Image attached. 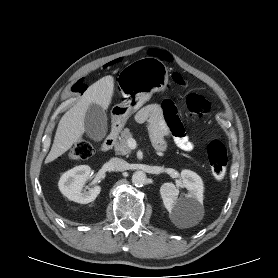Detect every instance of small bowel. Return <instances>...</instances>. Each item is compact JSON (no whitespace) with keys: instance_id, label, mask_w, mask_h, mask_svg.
<instances>
[{"instance_id":"c3829d8e","label":"small bowel","mask_w":278,"mask_h":278,"mask_svg":"<svg viewBox=\"0 0 278 278\" xmlns=\"http://www.w3.org/2000/svg\"><path fill=\"white\" fill-rule=\"evenodd\" d=\"M135 120L138 123L147 122L153 145L158 150L165 149V137L172 134L179 148L185 151L194 149L195 144L186 135L179 120L176 108L170 100H165L162 106L150 104L137 112Z\"/></svg>"}]
</instances>
